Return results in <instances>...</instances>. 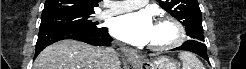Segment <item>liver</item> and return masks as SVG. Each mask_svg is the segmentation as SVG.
Returning <instances> with one entry per match:
<instances>
[{
  "mask_svg": "<svg viewBox=\"0 0 246 69\" xmlns=\"http://www.w3.org/2000/svg\"><path fill=\"white\" fill-rule=\"evenodd\" d=\"M120 69V61L111 64L108 49L73 40L46 47L36 58L33 69Z\"/></svg>",
  "mask_w": 246,
  "mask_h": 69,
  "instance_id": "6515ba94",
  "label": "liver"
}]
</instances>
